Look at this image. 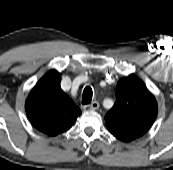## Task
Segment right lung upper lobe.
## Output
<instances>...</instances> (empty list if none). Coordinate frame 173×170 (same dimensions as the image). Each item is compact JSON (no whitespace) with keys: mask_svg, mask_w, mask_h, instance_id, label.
I'll list each match as a JSON object with an SVG mask.
<instances>
[{"mask_svg":"<svg viewBox=\"0 0 173 170\" xmlns=\"http://www.w3.org/2000/svg\"><path fill=\"white\" fill-rule=\"evenodd\" d=\"M60 74L50 70L30 92L26 114L32 125L48 136H56L68 130L81 114L79 107L60 87Z\"/></svg>","mask_w":173,"mask_h":170,"instance_id":"1","label":"right lung upper lobe"}]
</instances>
